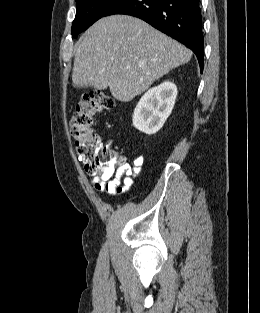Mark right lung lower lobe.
Wrapping results in <instances>:
<instances>
[{
    "mask_svg": "<svg viewBox=\"0 0 260 313\" xmlns=\"http://www.w3.org/2000/svg\"><path fill=\"white\" fill-rule=\"evenodd\" d=\"M200 0H118L104 14L143 19L190 48L203 71V33ZM103 16V17H104Z\"/></svg>",
    "mask_w": 260,
    "mask_h": 313,
    "instance_id": "right-lung-lower-lobe-1",
    "label": "right lung lower lobe"
}]
</instances>
